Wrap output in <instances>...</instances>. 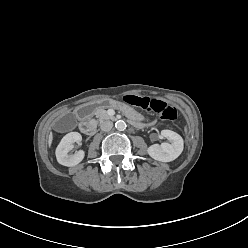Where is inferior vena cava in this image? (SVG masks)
Returning a JSON list of instances; mask_svg holds the SVG:
<instances>
[{
	"label": "inferior vena cava",
	"instance_id": "obj_1",
	"mask_svg": "<svg viewBox=\"0 0 248 248\" xmlns=\"http://www.w3.org/2000/svg\"><path fill=\"white\" fill-rule=\"evenodd\" d=\"M112 127H113V123L111 121H104L100 125L102 131H110Z\"/></svg>",
	"mask_w": 248,
	"mask_h": 248
}]
</instances>
